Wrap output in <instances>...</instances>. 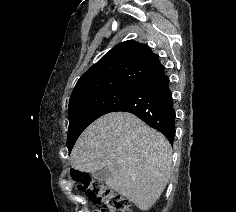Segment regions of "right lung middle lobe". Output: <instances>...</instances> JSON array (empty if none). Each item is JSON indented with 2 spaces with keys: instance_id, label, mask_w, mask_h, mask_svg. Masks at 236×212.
<instances>
[{
  "instance_id": "dd1d6c3e",
  "label": "right lung middle lobe",
  "mask_w": 236,
  "mask_h": 212,
  "mask_svg": "<svg viewBox=\"0 0 236 212\" xmlns=\"http://www.w3.org/2000/svg\"><path fill=\"white\" fill-rule=\"evenodd\" d=\"M133 88H121L84 97L69 103V152L84 129L100 116L113 112L132 93Z\"/></svg>"
}]
</instances>
